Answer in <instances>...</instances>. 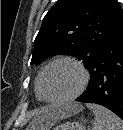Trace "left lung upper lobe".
<instances>
[{
  "instance_id": "1",
  "label": "left lung upper lobe",
  "mask_w": 123,
  "mask_h": 130,
  "mask_svg": "<svg viewBox=\"0 0 123 130\" xmlns=\"http://www.w3.org/2000/svg\"><path fill=\"white\" fill-rule=\"evenodd\" d=\"M123 24L117 0H58L35 38L31 65L57 55H73L88 70Z\"/></svg>"
}]
</instances>
